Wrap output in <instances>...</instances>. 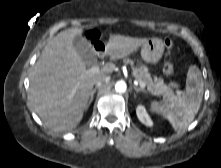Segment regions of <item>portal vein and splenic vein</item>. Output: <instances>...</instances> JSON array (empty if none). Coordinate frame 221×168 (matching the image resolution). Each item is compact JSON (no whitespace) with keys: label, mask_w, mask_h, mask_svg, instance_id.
Instances as JSON below:
<instances>
[{"label":"portal vein and splenic vein","mask_w":221,"mask_h":168,"mask_svg":"<svg viewBox=\"0 0 221 168\" xmlns=\"http://www.w3.org/2000/svg\"><path fill=\"white\" fill-rule=\"evenodd\" d=\"M88 71L91 72V73H97V72L100 71V67H99V66H93V67H92L90 70H88ZM138 84H139V86H140L141 88H145V87H146L145 83L142 82V81L138 82ZM177 94L180 95L181 92H180V91H177Z\"/></svg>","instance_id":"18ae733b"}]
</instances>
